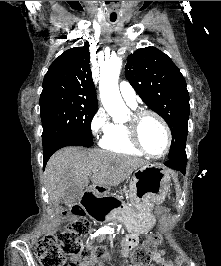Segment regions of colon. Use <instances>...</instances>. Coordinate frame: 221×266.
Returning <instances> with one entry per match:
<instances>
[{
    "mask_svg": "<svg viewBox=\"0 0 221 266\" xmlns=\"http://www.w3.org/2000/svg\"><path fill=\"white\" fill-rule=\"evenodd\" d=\"M66 214L74 220L57 236L47 235L36 245V255L41 266H76L74 261L67 262V257L98 260L106 257L102 247L91 248L83 242L90 230V223L85 219L84 210L78 205H71ZM157 234L150 235L132 254L133 266H148L161 243Z\"/></svg>",
    "mask_w": 221,
    "mask_h": 266,
    "instance_id": "colon-1",
    "label": "colon"
}]
</instances>
